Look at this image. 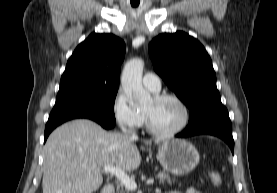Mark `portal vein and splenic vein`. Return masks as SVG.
Wrapping results in <instances>:
<instances>
[{"label":"portal vein and splenic vein","mask_w":277,"mask_h":193,"mask_svg":"<svg viewBox=\"0 0 277 193\" xmlns=\"http://www.w3.org/2000/svg\"><path fill=\"white\" fill-rule=\"evenodd\" d=\"M103 171L105 173L115 175L122 185L128 190L135 191L137 189V184L133 178H130L121 168L115 166H104ZM154 183L153 178L146 180V184L150 185Z\"/></svg>","instance_id":"obj_1"}]
</instances>
